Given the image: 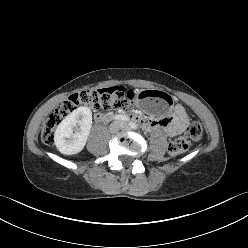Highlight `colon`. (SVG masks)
Segmentation results:
<instances>
[{
    "label": "colon",
    "mask_w": 248,
    "mask_h": 248,
    "mask_svg": "<svg viewBox=\"0 0 248 248\" xmlns=\"http://www.w3.org/2000/svg\"><path fill=\"white\" fill-rule=\"evenodd\" d=\"M134 90L122 86H114L105 89L82 91L69 96L63 101L45 120L41 139L44 144L52 145L54 132L58 125L80 105L91 107L95 110L108 111L111 109L126 110L136 106ZM203 128L200 122L191 121L185 131V137L172 141L168 147L170 156L175 157L185 153L190 141H197L202 137Z\"/></svg>",
    "instance_id": "colon-1"
}]
</instances>
